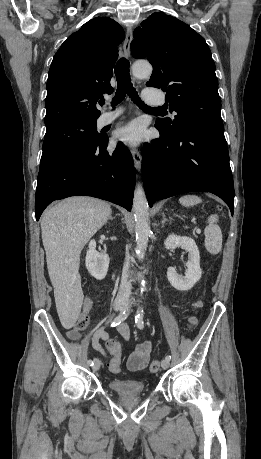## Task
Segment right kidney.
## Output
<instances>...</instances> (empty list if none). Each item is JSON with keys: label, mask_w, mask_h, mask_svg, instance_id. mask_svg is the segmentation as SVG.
Wrapping results in <instances>:
<instances>
[{"label": "right kidney", "mask_w": 261, "mask_h": 459, "mask_svg": "<svg viewBox=\"0 0 261 459\" xmlns=\"http://www.w3.org/2000/svg\"><path fill=\"white\" fill-rule=\"evenodd\" d=\"M86 254V268L97 280L105 278L109 267V256L106 253L96 251V242L91 240Z\"/></svg>", "instance_id": "1"}]
</instances>
